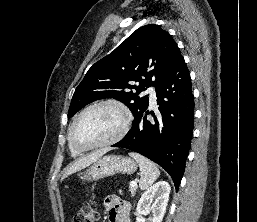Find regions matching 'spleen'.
Returning a JSON list of instances; mask_svg holds the SVG:
<instances>
[{
	"label": "spleen",
	"instance_id": "spleen-1",
	"mask_svg": "<svg viewBox=\"0 0 257 222\" xmlns=\"http://www.w3.org/2000/svg\"><path fill=\"white\" fill-rule=\"evenodd\" d=\"M139 164L141 178L139 187L141 190H145L150 187L153 182L159 177L160 171L155 163L147 159L146 157L138 153H129Z\"/></svg>",
	"mask_w": 257,
	"mask_h": 222
}]
</instances>
